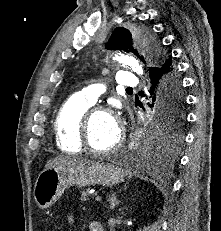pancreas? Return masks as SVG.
Segmentation results:
<instances>
[{"mask_svg":"<svg viewBox=\"0 0 221 231\" xmlns=\"http://www.w3.org/2000/svg\"><path fill=\"white\" fill-rule=\"evenodd\" d=\"M89 196V190H84L81 192L80 200L81 201H87Z\"/></svg>","mask_w":221,"mask_h":231,"instance_id":"pancreas-1","label":"pancreas"}]
</instances>
